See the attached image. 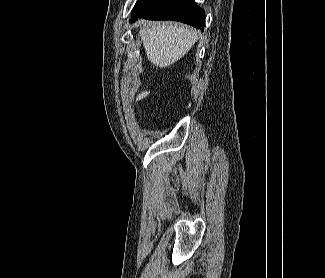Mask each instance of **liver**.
Wrapping results in <instances>:
<instances>
[{"mask_svg": "<svg viewBox=\"0 0 325 278\" xmlns=\"http://www.w3.org/2000/svg\"><path fill=\"white\" fill-rule=\"evenodd\" d=\"M139 34L147 58L160 68L168 67L184 57L198 40L196 30L171 23L144 25ZM149 93L141 92L136 101L147 97Z\"/></svg>", "mask_w": 325, "mask_h": 278, "instance_id": "1", "label": "liver"}]
</instances>
